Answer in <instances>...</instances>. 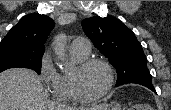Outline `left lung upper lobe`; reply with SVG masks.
Listing matches in <instances>:
<instances>
[{"instance_id":"left-lung-upper-lobe-1","label":"left lung upper lobe","mask_w":171,"mask_h":110,"mask_svg":"<svg viewBox=\"0 0 171 110\" xmlns=\"http://www.w3.org/2000/svg\"><path fill=\"white\" fill-rule=\"evenodd\" d=\"M85 34L109 58L117 71L116 86L136 83L152 85L147 58L132 30L114 17H92L82 21Z\"/></svg>"}]
</instances>
